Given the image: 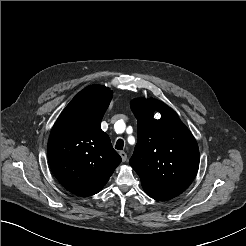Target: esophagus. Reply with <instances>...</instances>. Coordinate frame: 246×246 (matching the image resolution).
<instances>
[{
    "label": "esophagus",
    "instance_id": "1",
    "mask_svg": "<svg viewBox=\"0 0 246 246\" xmlns=\"http://www.w3.org/2000/svg\"><path fill=\"white\" fill-rule=\"evenodd\" d=\"M119 155L121 156L123 162L127 160V154L124 151H120Z\"/></svg>",
    "mask_w": 246,
    "mask_h": 246
}]
</instances>
